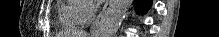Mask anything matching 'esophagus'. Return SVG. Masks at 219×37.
<instances>
[{"instance_id": "esophagus-1", "label": "esophagus", "mask_w": 219, "mask_h": 37, "mask_svg": "<svg viewBox=\"0 0 219 37\" xmlns=\"http://www.w3.org/2000/svg\"><path fill=\"white\" fill-rule=\"evenodd\" d=\"M111 2H112V0H108L105 3L102 11L99 13L96 20L94 21V23L91 27V30H90V34H91L92 37H96L98 35L102 20H103L104 16L106 15V12L110 8Z\"/></svg>"}]
</instances>
